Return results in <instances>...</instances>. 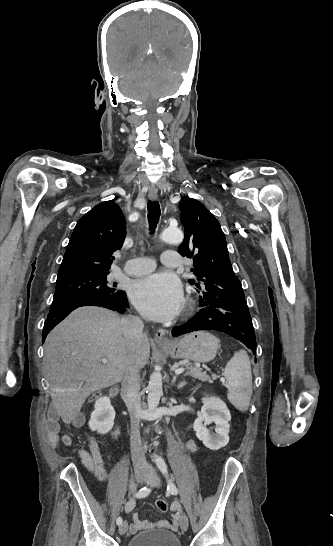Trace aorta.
I'll return each instance as SVG.
<instances>
[{
  "label": "aorta",
  "instance_id": "obj_1",
  "mask_svg": "<svg viewBox=\"0 0 333 546\" xmlns=\"http://www.w3.org/2000/svg\"><path fill=\"white\" fill-rule=\"evenodd\" d=\"M159 238L167 243L179 244L183 241L184 235L179 229H166L160 234ZM147 388L148 410L152 412L158 407L162 395V375L160 371L151 374Z\"/></svg>",
  "mask_w": 333,
  "mask_h": 546
}]
</instances>
